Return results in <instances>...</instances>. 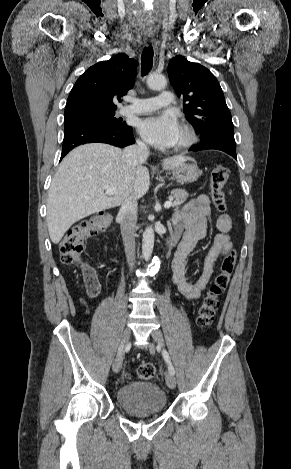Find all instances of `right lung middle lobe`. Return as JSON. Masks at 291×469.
<instances>
[{
	"instance_id": "obj_1",
	"label": "right lung middle lobe",
	"mask_w": 291,
	"mask_h": 469,
	"mask_svg": "<svg viewBox=\"0 0 291 469\" xmlns=\"http://www.w3.org/2000/svg\"><path fill=\"white\" fill-rule=\"evenodd\" d=\"M116 109H94L64 115V125L74 122L87 121L105 125H123L120 119L114 117Z\"/></svg>"
}]
</instances>
